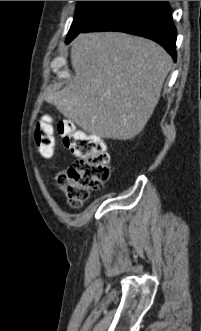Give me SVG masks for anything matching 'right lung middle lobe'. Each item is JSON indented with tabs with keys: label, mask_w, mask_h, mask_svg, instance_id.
Instances as JSON below:
<instances>
[{
	"label": "right lung middle lobe",
	"mask_w": 201,
	"mask_h": 331,
	"mask_svg": "<svg viewBox=\"0 0 201 331\" xmlns=\"http://www.w3.org/2000/svg\"><path fill=\"white\" fill-rule=\"evenodd\" d=\"M115 1H79L76 13L68 32L66 43L77 36L88 24L94 21Z\"/></svg>",
	"instance_id": "dd1d6c3e"
}]
</instances>
